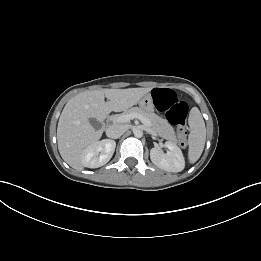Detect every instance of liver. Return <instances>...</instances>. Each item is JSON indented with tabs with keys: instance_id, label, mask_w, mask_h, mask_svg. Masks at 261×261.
Returning <instances> with one entry per match:
<instances>
[{
	"instance_id": "6515ba94",
	"label": "liver",
	"mask_w": 261,
	"mask_h": 261,
	"mask_svg": "<svg viewBox=\"0 0 261 261\" xmlns=\"http://www.w3.org/2000/svg\"><path fill=\"white\" fill-rule=\"evenodd\" d=\"M150 91L151 88L100 89L85 91L71 98L60 115L57 127L58 149L63 160L74 169H83L84 149L102 136V131L95 130L89 120L103 121L112 111H125Z\"/></svg>"
}]
</instances>
